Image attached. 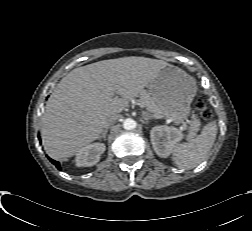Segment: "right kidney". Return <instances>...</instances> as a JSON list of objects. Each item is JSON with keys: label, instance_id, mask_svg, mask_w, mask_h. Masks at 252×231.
I'll list each match as a JSON object with an SVG mask.
<instances>
[{"label": "right kidney", "instance_id": "1", "mask_svg": "<svg viewBox=\"0 0 252 231\" xmlns=\"http://www.w3.org/2000/svg\"><path fill=\"white\" fill-rule=\"evenodd\" d=\"M105 151L103 143H93L83 147L75 158L76 166L89 167L99 162L101 154Z\"/></svg>", "mask_w": 252, "mask_h": 231}]
</instances>
